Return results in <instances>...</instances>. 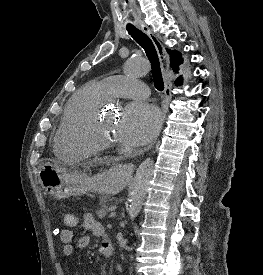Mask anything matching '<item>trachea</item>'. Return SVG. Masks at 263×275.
Listing matches in <instances>:
<instances>
[{"label": "trachea", "mask_w": 263, "mask_h": 275, "mask_svg": "<svg viewBox=\"0 0 263 275\" xmlns=\"http://www.w3.org/2000/svg\"><path fill=\"white\" fill-rule=\"evenodd\" d=\"M127 31L131 37L145 50V53L151 63L154 85L158 91H163L164 82L161 74L160 62L152 40L147 34L134 26L127 27Z\"/></svg>", "instance_id": "obj_1"}]
</instances>
